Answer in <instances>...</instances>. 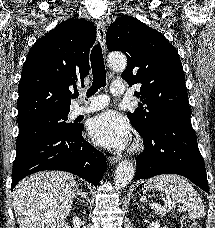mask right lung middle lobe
Segmentation results:
<instances>
[{
	"label": "right lung middle lobe",
	"instance_id": "right-lung-middle-lobe-1",
	"mask_svg": "<svg viewBox=\"0 0 215 228\" xmlns=\"http://www.w3.org/2000/svg\"><path fill=\"white\" fill-rule=\"evenodd\" d=\"M69 112L39 116L30 120L19 122V134L16 143L39 136L47 132L74 133L80 126L66 123Z\"/></svg>",
	"mask_w": 215,
	"mask_h": 228
}]
</instances>
